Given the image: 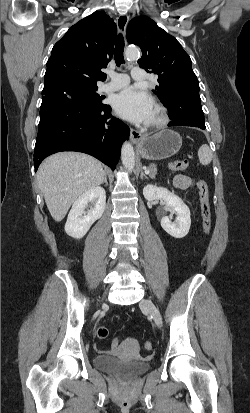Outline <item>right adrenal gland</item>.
<instances>
[{
    "label": "right adrenal gland",
    "instance_id": "obj_1",
    "mask_svg": "<svg viewBox=\"0 0 250 413\" xmlns=\"http://www.w3.org/2000/svg\"><path fill=\"white\" fill-rule=\"evenodd\" d=\"M102 184H105V186H108L107 175L106 174H105V177H104V180H103Z\"/></svg>",
    "mask_w": 250,
    "mask_h": 413
}]
</instances>
